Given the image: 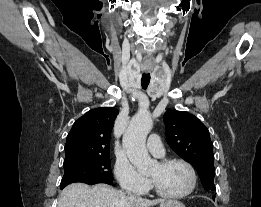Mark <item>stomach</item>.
Here are the masks:
<instances>
[{
    "label": "stomach",
    "mask_w": 261,
    "mask_h": 207,
    "mask_svg": "<svg viewBox=\"0 0 261 207\" xmlns=\"http://www.w3.org/2000/svg\"><path fill=\"white\" fill-rule=\"evenodd\" d=\"M159 207H185V205L177 200H165L160 203Z\"/></svg>",
    "instance_id": "1"
}]
</instances>
